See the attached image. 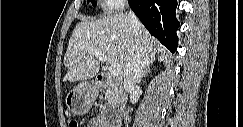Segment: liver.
Returning a JSON list of instances; mask_svg holds the SVG:
<instances>
[{
  "instance_id": "6515ba94",
  "label": "liver",
  "mask_w": 243,
  "mask_h": 127,
  "mask_svg": "<svg viewBox=\"0 0 243 127\" xmlns=\"http://www.w3.org/2000/svg\"><path fill=\"white\" fill-rule=\"evenodd\" d=\"M136 35L143 49L142 59L145 67L153 62L159 47L144 26L140 24V30L136 33L130 17L123 13L98 20H82L74 28L68 43L64 56L67 73L63 81L86 80L98 74L100 60L89 54L90 50L104 53L108 58L107 64L119 66L120 75L123 77L130 61Z\"/></svg>"
}]
</instances>
